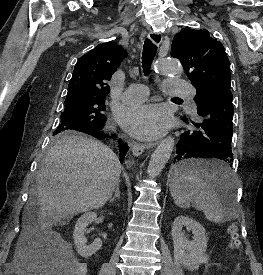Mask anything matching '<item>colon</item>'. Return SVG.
Returning <instances> with one entry per match:
<instances>
[{
    "mask_svg": "<svg viewBox=\"0 0 263 275\" xmlns=\"http://www.w3.org/2000/svg\"><path fill=\"white\" fill-rule=\"evenodd\" d=\"M228 235L231 247H238V233L234 226L229 227ZM49 252L52 256L53 275H84V266L81 262L69 258L58 247H51Z\"/></svg>",
    "mask_w": 263,
    "mask_h": 275,
    "instance_id": "5ec220e1",
    "label": "colon"
}]
</instances>
